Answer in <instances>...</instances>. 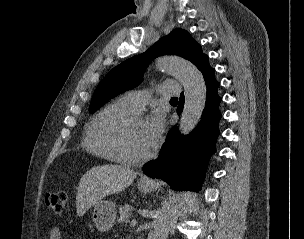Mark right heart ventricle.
Masks as SVG:
<instances>
[{"mask_svg":"<svg viewBox=\"0 0 304 239\" xmlns=\"http://www.w3.org/2000/svg\"><path fill=\"white\" fill-rule=\"evenodd\" d=\"M134 113L122 100L106 105L86 125L82 141L84 148L102 159L118 162L112 146V134L123 119Z\"/></svg>","mask_w":304,"mask_h":239,"instance_id":"obj_1","label":"right heart ventricle"}]
</instances>
